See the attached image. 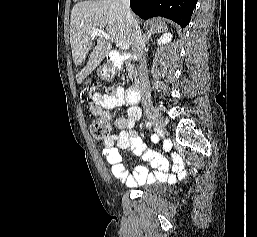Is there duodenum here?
<instances>
[{
    "mask_svg": "<svg viewBox=\"0 0 257 237\" xmlns=\"http://www.w3.org/2000/svg\"><path fill=\"white\" fill-rule=\"evenodd\" d=\"M137 61L138 56L136 54H120L114 55L112 57V62L114 63L115 68H119L125 61ZM126 97L129 102L137 103L140 100V88L139 84L136 82L133 85L129 86L126 91Z\"/></svg>",
    "mask_w": 257,
    "mask_h": 237,
    "instance_id": "1",
    "label": "duodenum"
}]
</instances>
